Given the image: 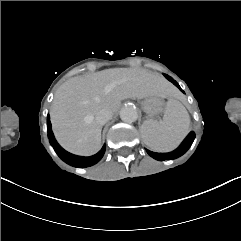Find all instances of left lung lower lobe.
I'll return each instance as SVG.
<instances>
[{
    "label": "left lung lower lobe",
    "instance_id": "0a47b994",
    "mask_svg": "<svg viewBox=\"0 0 241 241\" xmlns=\"http://www.w3.org/2000/svg\"><path fill=\"white\" fill-rule=\"evenodd\" d=\"M165 77L181 90L180 86L177 84L176 81L173 80V78H171L168 75H165ZM194 138H195V133L191 132L188 135V137L184 140V142L181 144V146L173 152L156 153V152H152L149 150H146V151L151 157H153L156 160L163 161V160H167V159H174V158H177V157L183 155L190 148Z\"/></svg>",
    "mask_w": 241,
    "mask_h": 241
}]
</instances>
